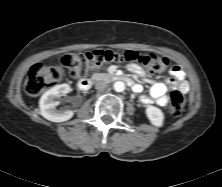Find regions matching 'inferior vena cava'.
Instances as JSON below:
<instances>
[{"label": "inferior vena cava", "instance_id": "inferior-vena-cava-1", "mask_svg": "<svg viewBox=\"0 0 222 187\" xmlns=\"http://www.w3.org/2000/svg\"><path fill=\"white\" fill-rule=\"evenodd\" d=\"M108 86L106 81H98L95 85L96 90L103 91Z\"/></svg>", "mask_w": 222, "mask_h": 187}]
</instances>
